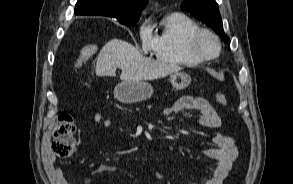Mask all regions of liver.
Instances as JSON below:
<instances>
[{"mask_svg":"<svg viewBox=\"0 0 293 184\" xmlns=\"http://www.w3.org/2000/svg\"><path fill=\"white\" fill-rule=\"evenodd\" d=\"M117 68L122 70L123 81L159 79L181 70L176 64L144 57L126 41L112 39L99 52L95 72L97 76L115 77Z\"/></svg>","mask_w":293,"mask_h":184,"instance_id":"liver-1","label":"liver"}]
</instances>
